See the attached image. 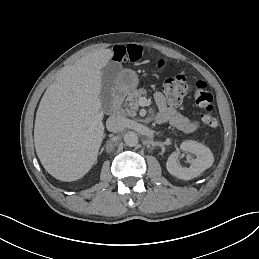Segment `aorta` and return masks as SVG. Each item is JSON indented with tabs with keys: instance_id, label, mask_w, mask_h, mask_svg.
<instances>
[{
	"instance_id": "1",
	"label": "aorta",
	"mask_w": 259,
	"mask_h": 259,
	"mask_svg": "<svg viewBox=\"0 0 259 259\" xmlns=\"http://www.w3.org/2000/svg\"><path fill=\"white\" fill-rule=\"evenodd\" d=\"M124 142L127 146L134 147L139 142L138 135L133 131H129L124 135Z\"/></svg>"
}]
</instances>
